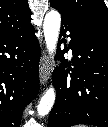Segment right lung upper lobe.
<instances>
[{"mask_svg": "<svg viewBox=\"0 0 108 127\" xmlns=\"http://www.w3.org/2000/svg\"><path fill=\"white\" fill-rule=\"evenodd\" d=\"M31 10L27 0H0V36L29 28Z\"/></svg>", "mask_w": 108, "mask_h": 127, "instance_id": "obj_1", "label": "right lung upper lobe"}]
</instances>
